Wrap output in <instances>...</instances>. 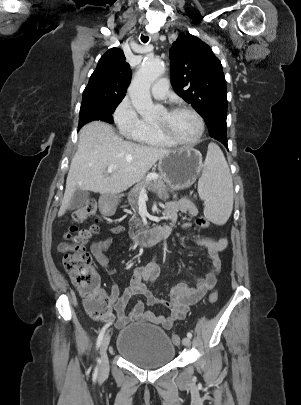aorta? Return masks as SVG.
Masks as SVG:
<instances>
[{
	"label": "aorta",
	"mask_w": 301,
	"mask_h": 405,
	"mask_svg": "<svg viewBox=\"0 0 301 405\" xmlns=\"http://www.w3.org/2000/svg\"><path fill=\"white\" fill-rule=\"evenodd\" d=\"M165 71V65L158 59H146L135 74L130 87L129 96L136 111L146 117L155 112L150 95L152 83Z\"/></svg>",
	"instance_id": "1"
}]
</instances>
